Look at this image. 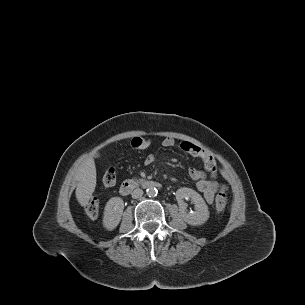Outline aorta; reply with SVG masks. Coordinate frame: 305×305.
Wrapping results in <instances>:
<instances>
[{
	"label": "aorta",
	"mask_w": 305,
	"mask_h": 305,
	"mask_svg": "<svg viewBox=\"0 0 305 305\" xmlns=\"http://www.w3.org/2000/svg\"><path fill=\"white\" fill-rule=\"evenodd\" d=\"M146 193L149 197H155L157 196L158 190L154 186H150L146 189Z\"/></svg>",
	"instance_id": "762f6f07"
}]
</instances>
